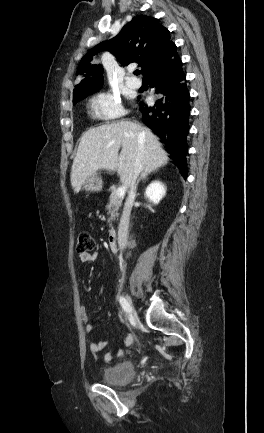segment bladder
Masks as SVG:
<instances>
[{"label": "bladder", "instance_id": "obj_1", "mask_svg": "<svg viewBox=\"0 0 264 433\" xmlns=\"http://www.w3.org/2000/svg\"><path fill=\"white\" fill-rule=\"evenodd\" d=\"M133 364L123 362L115 366L108 367L102 372V382L111 386L126 385L133 376Z\"/></svg>", "mask_w": 264, "mask_h": 433}]
</instances>
